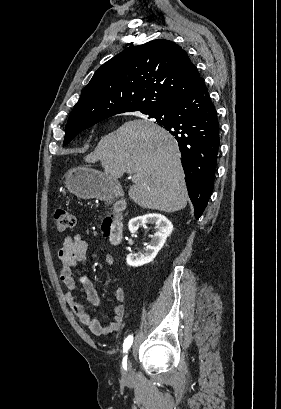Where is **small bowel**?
I'll return each mask as SVG.
<instances>
[{
  "label": "small bowel",
  "mask_w": 281,
  "mask_h": 409,
  "mask_svg": "<svg viewBox=\"0 0 281 409\" xmlns=\"http://www.w3.org/2000/svg\"><path fill=\"white\" fill-rule=\"evenodd\" d=\"M89 245L79 235L67 236L60 249L58 250V258L60 260L59 276L65 286V300L70 306L73 313L77 316L80 323L97 336H106L118 331L125 317V291L118 287L115 289V299L118 301L113 308V320L107 325L102 326L100 322L93 318L85 311L84 305L74 295L77 283H79L85 293L86 301L94 307H99L101 304L99 295L94 287L93 282L87 276L75 278L74 270L80 262L87 258ZM105 264L109 267L114 265V257L111 254L105 256Z\"/></svg>",
  "instance_id": "c3829d8e"
}]
</instances>
